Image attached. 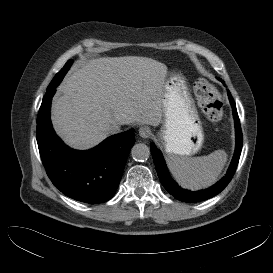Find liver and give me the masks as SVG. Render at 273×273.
<instances>
[{
    "instance_id": "6515ba94",
    "label": "liver",
    "mask_w": 273,
    "mask_h": 273,
    "mask_svg": "<svg viewBox=\"0 0 273 273\" xmlns=\"http://www.w3.org/2000/svg\"><path fill=\"white\" fill-rule=\"evenodd\" d=\"M168 69L147 57L91 59L61 84L51 119L69 146L86 150L98 145L113 124L162 122V92Z\"/></svg>"
}]
</instances>
